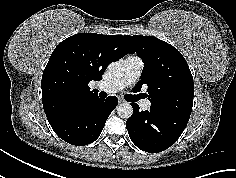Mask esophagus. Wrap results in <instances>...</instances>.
<instances>
[{"instance_id": "34e87169", "label": "esophagus", "mask_w": 236, "mask_h": 178, "mask_svg": "<svg viewBox=\"0 0 236 178\" xmlns=\"http://www.w3.org/2000/svg\"><path fill=\"white\" fill-rule=\"evenodd\" d=\"M119 104H122V103H124V100H122V99H119Z\"/></svg>"}]
</instances>
